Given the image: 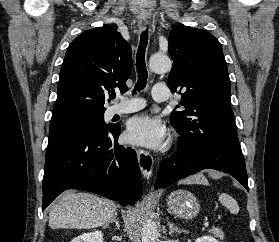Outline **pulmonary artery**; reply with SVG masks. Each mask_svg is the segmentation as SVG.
Returning <instances> with one entry per match:
<instances>
[{
	"label": "pulmonary artery",
	"mask_w": 279,
	"mask_h": 242,
	"mask_svg": "<svg viewBox=\"0 0 279 242\" xmlns=\"http://www.w3.org/2000/svg\"><path fill=\"white\" fill-rule=\"evenodd\" d=\"M168 87L166 85L156 84L152 89V97L157 102L166 101L168 99ZM145 106V102L141 98H131L123 105L113 106L110 109L111 115H121L132 113L142 109Z\"/></svg>",
	"instance_id": "1"
}]
</instances>
